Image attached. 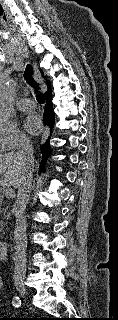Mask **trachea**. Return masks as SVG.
<instances>
[{
	"label": "trachea",
	"mask_w": 118,
	"mask_h": 320,
	"mask_svg": "<svg viewBox=\"0 0 118 320\" xmlns=\"http://www.w3.org/2000/svg\"><path fill=\"white\" fill-rule=\"evenodd\" d=\"M24 79L26 80V82L35 89V93L36 95V99L40 104H44L45 100H44V96L38 92V84L35 82L34 78H33V69L31 67V65H27L25 72H24Z\"/></svg>",
	"instance_id": "trachea-1"
}]
</instances>
